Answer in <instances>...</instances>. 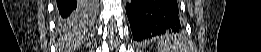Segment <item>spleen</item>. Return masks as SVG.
<instances>
[{
    "label": "spleen",
    "instance_id": "1",
    "mask_svg": "<svg viewBox=\"0 0 261 52\" xmlns=\"http://www.w3.org/2000/svg\"><path fill=\"white\" fill-rule=\"evenodd\" d=\"M159 52H176L180 48V37L164 35L158 39Z\"/></svg>",
    "mask_w": 261,
    "mask_h": 52
}]
</instances>
